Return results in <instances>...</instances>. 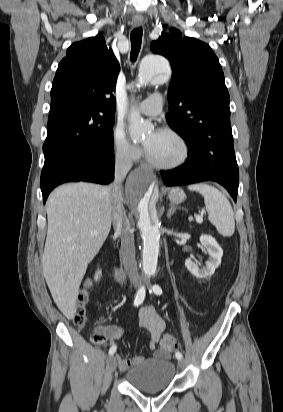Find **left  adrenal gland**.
Here are the masks:
<instances>
[{
  "instance_id": "1",
  "label": "left adrenal gland",
  "mask_w": 283,
  "mask_h": 412,
  "mask_svg": "<svg viewBox=\"0 0 283 412\" xmlns=\"http://www.w3.org/2000/svg\"><path fill=\"white\" fill-rule=\"evenodd\" d=\"M175 211H176V207L172 205L167 212V218L170 219L171 216L175 213Z\"/></svg>"
}]
</instances>
